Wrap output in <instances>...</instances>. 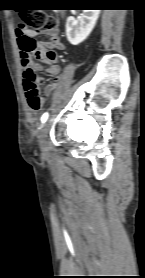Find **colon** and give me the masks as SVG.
I'll use <instances>...</instances> for the list:
<instances>
[{
	"mask_svg": "<svg viewBox=\"0 0 145 278\" xmlns=\"http://www.w3.org/2000/svg\"><path fill=\"white\" fill-rule=\"evenodd\" d=\"M56 20L52 15L42 11L28 9L21 13L20 23L16 27V34L19 35L18 45L21 56L28 59L44 56L48 61H56V52L53 49L41 47L35 38L24 35L26 30L51 32L55 29ZM40 78L28 66L23 71V86L28 107L32 111H39L43 107V99L39 92Z\"/></svg>",
	"mask_w": 145,
	"mask_h": 278,
	"instance_id": "1",
	"label": "colon"
}]
</instances>
